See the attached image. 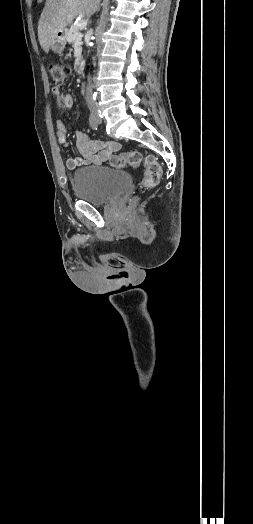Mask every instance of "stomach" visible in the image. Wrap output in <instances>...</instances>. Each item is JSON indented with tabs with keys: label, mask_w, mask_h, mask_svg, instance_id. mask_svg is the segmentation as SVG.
I'll list each match as a JSON object with an SVG mask.
<instances>
[{
	"label": "stomach",
	"mask_w": 253,
	"mask_h": 524,
	"mask_svg": "<svg viewBox=\"0 0 253 524\" xmlns=\"http://www.w3.org/2000/svg\"><path fill=\"white\" fill-rule=\"evenodd\" d=\"M65 45H66L65 32L60 31L57 33L55 39L51 43L50 48L54 53H61L64 50Z\"/></svg>",
	"instance_id": "0dacf381"
}]
</instances>
